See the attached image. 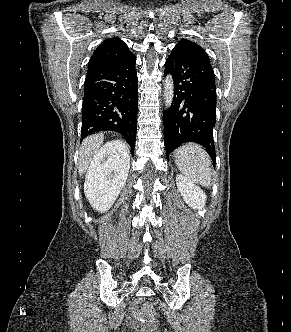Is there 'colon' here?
<instances>
[{"label":"colon","instance_id":"5ec220e1","mask_svg":"<svg viewBox=\"0 0 291 332\" xmlns=\"http://www.w3.org/2000/svg\"><path fill=\"white\" fill-rule=\"evenodd\" d=\"M141 311L146 315H153L154 314V308H153L152 304L149 303V302L142 303ZM151 331H154V329H152Z\"/></svg>","mask_w":291,"mask_h":332}]
</instances>
